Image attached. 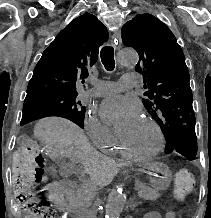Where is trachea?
I'll return each mask as SVG.
<instances>
[{"label":"trachea","instance_id":"3493384b","mask_svg":"<svg viewBox=\"0 0 211 218\" xmlns=\"http://www.w3.org/2000/svg\"><path fill=\"white\" fill-rule=\"evenodd\" d=\"M100 57L105 69L109 72L113 71L115 68L114 49L110 46H105L101 50Z\"/></svg>","mask_w":211,"mask_h":218}]
</instances>
